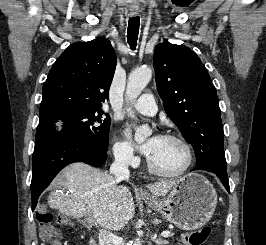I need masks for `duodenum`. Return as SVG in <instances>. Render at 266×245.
Segmentation results:
<instances>
[{
	"label": "duodenum",
	"mask_w": 266,
	"mask_h": 245,
	"mask_svg": "<svg viewBox=\"0 0 266 245\" xmlns=\"http://www.w3.org/2000/svg\"><path fill=\"white\" fill-rule=\"evenodd\" d=\"M91 245H96V244L93 242V243H91Z\"/></svg>",
	"instance_id": "obj_1"
}]
</instances>
